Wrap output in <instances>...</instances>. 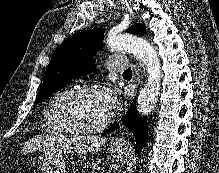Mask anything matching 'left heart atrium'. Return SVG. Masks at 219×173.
Listing matches in <instances>:
<instances>
[{
    "instance_id": "obj_1",
    "label": "left heart atrium",
    "mask_w": 219,
    "mask_h": 173,
    "mask_svg": "<svg viewBox=\"0 0 219 173\" xmlns=\"http://www.w3.org/2000/svg\"><path fill=\"white\" fill-rule=\"evenodd\" d=\"M99 96L104 109L111 114L118 107L119 98L117 92L112 87H106L99 92Z\"/></svg>"
}]
</instances>
